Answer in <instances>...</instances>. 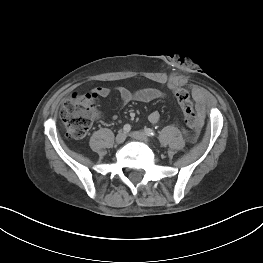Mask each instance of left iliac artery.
Masks as SVG:
<instances>
[{
  "label": "left iliac artery",
  "instance_id": "obj_1",
  "mask_svg": "<svg viewBox=\"0 0 263 263\" xmlns=\"http://www.w3.org/2000/svg\"><path fill=\"white\" fill-rule=\"evenodd\" d=\"M144 132H145V134H146L147 136H150V137L155 136V131H154L153 129L145 128Z\"/></svg>",
  "mask_w": 263,
  "mask_h": 263
}]
</instances>
